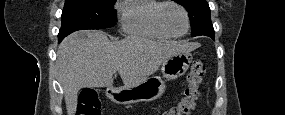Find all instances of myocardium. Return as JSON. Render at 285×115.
Listing matches in <instances>:
<instances>
[{
  "label": "myocardium",
  "mask_w": 285,
  "mask_h": 115,
  "mask_svg": "<svg viewBox=\"0 0 285 115\" xmlns=\"http://www.w3.org/2000/svg\"><path fill=\"white\" fill-rule=\"evenodd\" d=\"M168 5H174V6H177L178 8H180L184 14V17H185V21H186V29L183 33L181 34H173L171 33L167 28L166 26L164 25L163 21H162V17H161V14H162V10L165 6H168ZM155 20H156V23L157 25L159 26V28L165 33L167 34L168 36H170L171 38H180V37H183L185 36L189 29H190V17H189V13L187 11V9L177 3V2H174V1H161L159 3V5L157 6V9H156V14H155Z\"/></svg>",
  "instance_id": "1"
}]
</instances>
